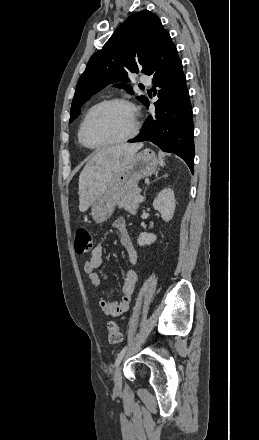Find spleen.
Wrapping results in <instances>:
<instances>
[{
  "label": "spleen",
  "instance_id": "1",
  "mask_svg": "<svg viewBox=\"0 0 259 440\" xmlns=\"http://www.w3.org/2000/svg\"><path fill=\"white\" fill-rule=\"evenodd\" d=\"M159 163H160V165H161L162 167L165 165V162H164V160H163L161 154H159Z\"/></svg>",
  "mask_w": 259,
  "mask_h": 440
}]
</instances>
